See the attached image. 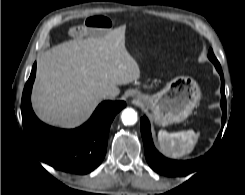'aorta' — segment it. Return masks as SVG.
Instances as JSON below:
<instances>
[{
    "instance_id": "1",
    "label": "aorta",
    "mask_w": 245,
    "mask_h": 195,
    "mask_svg": "<svg viewBox=\"0 0 245 195\" xmlns=\"http://www.w3.org/2000/svg\"><path fill=\"white\" fill-rule=\"evenodd\" d=\"M121 118L124 125H134L137 122L138 117L134 109L126 108L123 110Z\"/></svg>"
}]
</instances>
